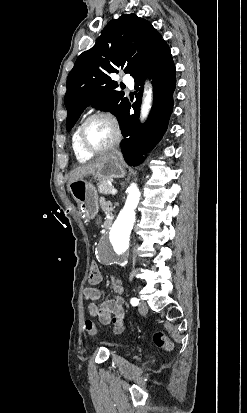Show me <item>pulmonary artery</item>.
I'll list each match as a JSON object with an SVG mask.
<instances>
[{
  "label": "pulmonary artery",
  "instance_id": "pulmonary-artery-1",
  "mask_svg": "<svg viewBox=\"0 0 247 413\" xmlns=\"http://www.w3.org/2000/svg\"><path fill=\"white\" fill-rule=\"evenodd\" d=\"M118 80H123L124 82H126L128 85H134V80H132V78L130 76H121L118 75L117 76Z\"/></svg>",
  "mask_w": 247,
  "mask_h": 413
}]
</instances>
